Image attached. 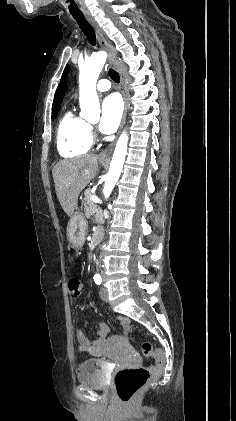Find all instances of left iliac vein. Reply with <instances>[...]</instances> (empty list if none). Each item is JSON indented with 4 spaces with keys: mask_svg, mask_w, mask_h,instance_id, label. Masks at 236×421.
I'll return each instance as SVG.
<instances>
[{
    "mask_svg": "<svg viewBox=\"0 0 236 421\" xmlns=\"http://www.w3.org/2000/svg\"><path fill=\"white\" fill-rule=\"evenodd\" d=\"M100 296H101V299L103 301L108 302L109 297H108V290H107L106 287H101V289H100Z\"/></svg>",
    "mask_w": 236,
    "mask_h": 421,
    "instance_id": "left-iliac-vein-1",
    "label": "left iliac vein"
}]
</instances>
